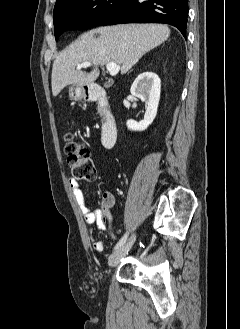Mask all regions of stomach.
Returning <instances> with one entry per match:
<instances>
[{
  "instance_id": "1",
  "label": "stomach",
  "mask_w": 240,
  "mask_h": 329,
  "mask_svg": "<svg viewBox=\"0 0 240 329\" xmlns=\"http://www.w3.org/2000/svg\"><path fill=\"white\" fill-rule=\"evenodd\" d=\"M69 97L71 100L78 101L86 97L84 86L72 85L69 88Z\"/></svg>"
}]
</instances>
